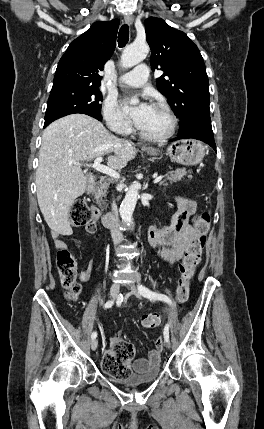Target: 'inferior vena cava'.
Instances as JSON below:
<instances>
[{"label": "inferior vena cava", "mask_w": 264, "mask_h": 429, "mask_svg": "<svg viewBox=\"0 0 264 429\" xmlns=\"http://www.w3.org/2000/svg\"><path fill=\"white\" fill-rule=\"evenodd\" d=\"M112 210L114 212L117 211V207L115 205V202L113 201L112 203ZM113 220L115 221V223L112 221L110 224L112 225V228L109 229V232L112 233V236L114 237V240L116 241L115 243L118 245H120L122 242V233H121V227H122V220H121V216H119L117 213H115ZM122 267V264L119 266Z\"/></svg>", "instance_id": "602c4592"}]
</instances>
